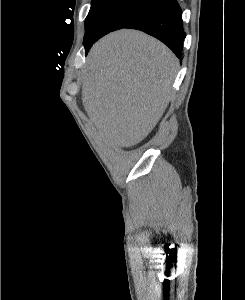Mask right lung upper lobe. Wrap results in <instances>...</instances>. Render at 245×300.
Segmentation results:
<instances>
[{
  "label": "right lung upper lobe",
  "instance_id": "obj_1",
  "mask_svg": "<svg viewBox=\"0 0 245 300\" xmlns=\"http://www.w3.org/2000/svg\"><path fill=\"white\" fill-rule=\"evenodd\" d=\"M145 1H147V0H145ZM153 1H158L159 3H162V2H165L167 0H153Z\"/></svg>",
  "mask_w": 245,
  "mask_h": 300
}]
</instances>
